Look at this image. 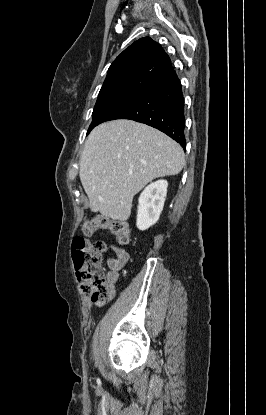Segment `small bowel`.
Segmentation results:
<instances>
[{
  "instance_id": "1",
  "label": "small bowel",
  "mask_w": 266,
  "mask_h": 415,
  "mask_svg": "<svg viewBox=\"0 0 266 415\" xmlns=\"http://www.w3.org/2000/svg\"><path fill=\"white\" fill-rule=\"evenodd\" d=\"M110 247L115 252L116 257L108 256L106 258V264L109 268L108 275L110 277L111 285H112V288H113L112 296L108 301H110L115 295L114 284L116 283V281L118 279V272L121 268L124 267V265L127 263L128 259H129V253L126 250H124L120 247H117L115 245H111ZM108 301L97 302V301H94L91 298H89L87 300V304H88L89 307H92L94 305L95 306H102Z\"/></svg>"
}]
</instances>
